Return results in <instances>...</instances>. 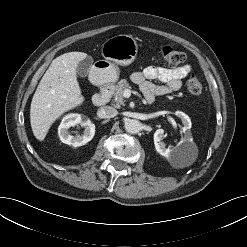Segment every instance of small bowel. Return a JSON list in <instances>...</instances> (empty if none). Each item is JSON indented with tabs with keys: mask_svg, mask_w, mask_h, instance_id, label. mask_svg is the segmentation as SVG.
<instances>
[{
	"mask_svg": "<svg viewBox=\"0 0 247 247\" xmlns=\"http://www.w3.org/2000/svg\"><path fill=\"white\" fill-rule=\"evenodd\" d=\"M190 65L176 68L149 66L132 75V81L137 84L146 101L151 103L156 96H162L180 89L182 80L190 73ZM152 80H159L163 84L156 85Z\"/></svg>",
	"mask_w": 247,
	"mask_h": 247,
	"instance_id": "obj_1",
	"label": "small bowel"
}]
</instances>
